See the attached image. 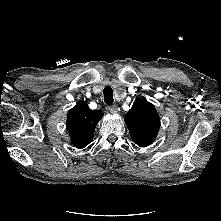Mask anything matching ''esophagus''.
<instances>
[{"instance_id": "esophagus-1", "label": "esophagus", "mask_w": 221, "mask_h": 221, "mask_svg": "<svg viewBox=\"0 0 221 221\" xmlns=\"http://www.w3.org/2000/svg\"><path fill=\"white\" fill-rule=\"evenodd\" d=\"M108 110H109L111 113L115 114V113L118 112V107H117V105H112V106H109V107H108Z\"/></svg>"}]
</instances>
